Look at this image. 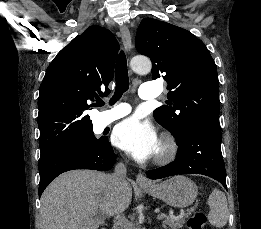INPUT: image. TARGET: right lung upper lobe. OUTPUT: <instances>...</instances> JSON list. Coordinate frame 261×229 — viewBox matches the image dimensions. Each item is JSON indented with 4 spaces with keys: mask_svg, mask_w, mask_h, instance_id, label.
<instances>
[{
    "mask_svg": "<svg viewBox=\"0 0 261 229\" xmlns=\"http://www.w3.org/2000/svg\"><path fill=\"white\" fill-rule=\"evenodd\" d=\"M118 49L109 30L93 25L57 54L40 86V149L60 146L92 131V121L85 114L91 101L110 92Z\"/></svg>",
    "mask_w": 261,
    "mask_h": 229,
    "instance_id": "right-lung-upper-lobe-1",
    "label": "right lung upper lobe"
}]
</instances>
